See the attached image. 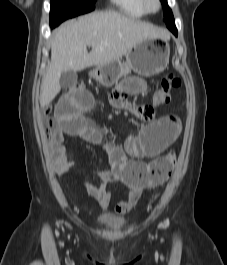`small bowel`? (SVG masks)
Instances as JSON below:
<instances>
[{"label": "small bowel", "mask_w": 227, "mask_h": 265, "mask_svg": "<svg viewBox=\"0 0 227 265\" xmlns=\"http://www.w3.org/2000/svg\"><path fill=\"white\" fill-rule=\"evenodd\" d=\"M113 85L117 87L111 94V105L123 112L139 115L141 107L129 104L126 96L144 92L145 82L135 76H129L123 81H114ZM57 103L54 116L57 117L58 125L49 143L54 168L62 174L73 169L74 163L67 156L64 138L65 135L76 136L101 146L109 161L108 169L92 172L99 179L98 184L84 182L87 194L97 201L100 207L107 209L112 202L108 184L118 181L127 188L126 195L116 204L114 211L106 213L105 221L113 222L126 215L137 204L143 190L165 181L158 180L154 172L157 160L154 158L163 153L178 137L181 125L177 117L162 116L147 124L137 136H129L123 146H116L104 142L102 132L88 122L85 113L91 109L92 104H98V99H92L90 91H85V87H66ZM144 158L153 160L144 162Z\"/></svg>", "instance_id": "1"}]
</instances>
